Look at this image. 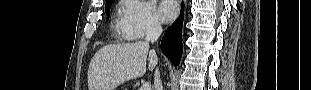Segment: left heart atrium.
<instances>
[{"label":"left heart atrium","instance_id":"left-heart-atrium-1","mask_svg":"<svg viewBox=\"0 0 311 90\" xmlns=\"http://www.w3.org/2000/svg\"><path fill=\"white\" fill-rule=\"evenodd\" d=\"M158 11L163 22H171L178 15L179 6L175 0H164L160 2Z\"/></svg>","mask_w":311,"mask_h":90}]
</instances>
